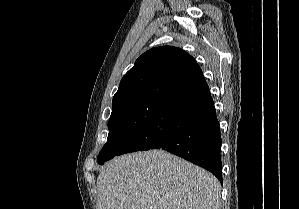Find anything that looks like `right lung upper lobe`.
<instances>
[{"instance_id": "obj_1", "label": "right lung upper lobe", "mask_w": 299, "mask_h": 209, "mask_svg": "<svg viewBox=\"0 0 299 209\" xmlns=\"http://www.w3.org/2000/svg\"><path fill=\"white\" fill-rule=\"evenodd\" d=\"M201 74V68L186 51L173 46L152 48L123 76L112 108L145 101L162 103Z\"/></svg>"}]
</instances>
